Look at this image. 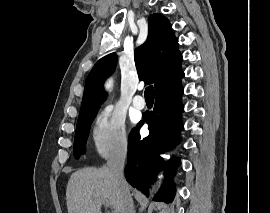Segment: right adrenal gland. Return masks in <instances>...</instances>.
Masks as SVG:
<instances>
[{
  "label": "right adrenal gland",
  "mask_w": 270,
  "mask_h": 213,
  "mask_svg": "<svg viewBox=\"0 0 270 213\" xmlns=\"http://www.w3.org/2000/svg\"><path fill=\"white\" fill-rule=\"evenodd\" d=\"M133 213H135V208H133Z\"/></svg>",
  "instance_id": "right-adrenal-gland-1"
}]
</instances>
